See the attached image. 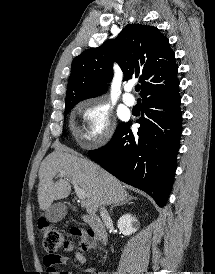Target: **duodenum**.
Listing matches in <instances>:
<instances>
[{"label": "duodenum", "mask_w": 215, "mask_h": 274, "mask_svg": "<svg viewBox=\"0 0 215 274\" xmlns=\"http://www.w3.org/2000/svg\"><path fill=\"white\" fill-rule=\"evenodd\" d=\"M81 217L90 226L99 242L105 245L107 242V232L103 222L95 215L84 214Z\"/></svg>", "instance_id": "obj_1"}]
</instances>
